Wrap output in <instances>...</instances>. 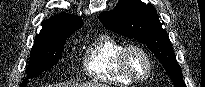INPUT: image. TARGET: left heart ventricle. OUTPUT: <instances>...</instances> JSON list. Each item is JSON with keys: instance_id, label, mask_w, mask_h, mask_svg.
<instances>
[{"instance_id": "obj_1", "label": "left heart ventricle", "mask_w": 205, "mask_h": 87, "mask_svg": "<svg viewBox=\"0 0 205 87\" xmlns=\"http://www.w3.org/2000/svg\"><path fill=\"white\" fill-rule=\"evenodd\" d=\"M126 62L128 69L136 76L143 77L148 71L146 58L138 51H130L127 54Z\"/></svg>"}]
</instances>
